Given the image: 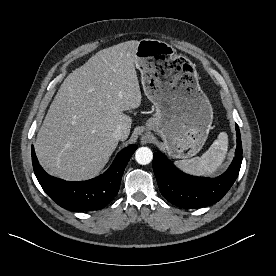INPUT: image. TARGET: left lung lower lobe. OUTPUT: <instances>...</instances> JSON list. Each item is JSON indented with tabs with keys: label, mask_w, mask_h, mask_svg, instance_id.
<instances>
[{
	"label": "left lung lower lobe",
	"mask_w": 276,
	"mask_h": 276,
	"mask_svg": "<svg viewBox=\"0 0 276 276\" xmlns=\"http://www.w3.org/2000/svg\"><path fill=\"white\" fill-rule=\"evenodd\" d=\"M237 147L229 168L216 178L195 177L176 169L161 153H154L153 170L162 195L181 208H200L218 202L235 182L242 163V144L236 124Z\"/></svg>",
	"instance_id": "obj_1"
}]
</instances>
